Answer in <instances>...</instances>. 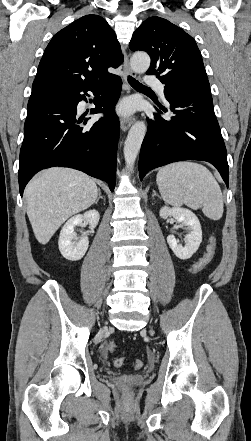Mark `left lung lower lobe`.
<instances>
[{
  "mask_svg": "<svg viewBox=\"0 0 251 441\" xmlns=\"http://www.w3.org/2000/svg\"><path fill=\"white\" fill-rule=\"evenodd\" d=\"M170 117L154 113L148 118V130L143 140L140 158V180L151 169L182 160H201L213 164L227 187L229 169L226 147L214 114L211 95L192 93L188 96L166 97ZM159 113L167 109L157 104Z\"/></svg>",
  "mask_w": 251,
  "mask_h": 441,
  "instance_id": "1",
  "label": "left lung lower lobe"
}]
</instances>
